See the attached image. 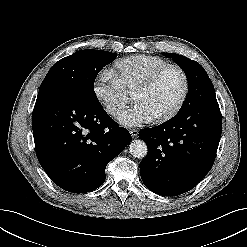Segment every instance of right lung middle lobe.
Instances as JSON below:
<instances>
[{
    "label": "right lung middle lobe",
    "instance_id": "obj_1",
    "mask_svg": "<svg viewBox=\"0 0 247 247\" xmlns=\"http://www.w3.org/2000/svg\"><path fill=\"white\" fill-rule=\"evenodd\" d=\"M117 54L102 50H81L53 65L44 78L39 90L53 85H74L90 99L98 102L94 81L99 71L111 63Z\"/></svg>",
    "mask_w": 247,
    "mask_h": 247
}]
</instances>
